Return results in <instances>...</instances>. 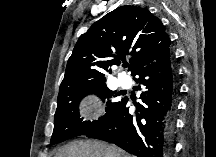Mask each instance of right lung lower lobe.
Wrapping results in <instances>:
<instances>
[{"label": "right lung lower lobe", "instance_id": "98d812e1", "mask_svg": "<svg viewBox=\"0 0 216 157\" xmlns=\"http://www.w3.org/2000/svg\"><path fill=\"white\" fill-rule=\"evenodd\" d=\"M142 102L136 115L129 113L125 98L116 115L105 125L86 134L111 142L137 157H170L173 148L177 84L170 50L140 69Z\"/></svg>", "mask_w": 216, "mask_h": 157}]
</instances>
